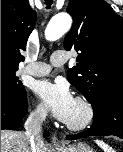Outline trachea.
I'll list each match as a JSON object with an SVG mask.
<instances>
[{
	"label": "trachea",
	"instance_id": "3493384b",
	"mask_svg": "<svg viewBox=\"0 0 123 152\" xmlns=\"http://www.w3.org/2000/svg\"><path fill=\"white\" fill-rule=\"evenodd\" d=\"M52 3H53V0H45V4L47 5L48 9L50 8Z\"/></svg>",
	"mask_w": 123,
	"mask_h": 152
}]
</instances>
